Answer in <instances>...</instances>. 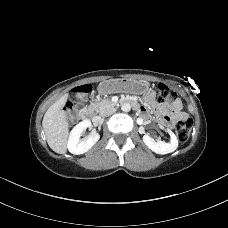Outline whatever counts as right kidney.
Segmentation results:
<instances>
[{"label": "right kidney", "instance_id": "obj_1", "mask_svg": "<svg viewBox=\"0 0 228 228\" xmlns=\"http://www.w3.org/2000/svg\"><path fill=\"white\" fill-rule=\"evenodd\" d=\"M90 126V120H84L72 129L67 142V148L70 153L75 155L83 154L99 140L100 135L97 132H92L87 138L80 141L82 133Z\"/></svg>", "mask_w": 228, "mask_h": 228}]
</instances>
